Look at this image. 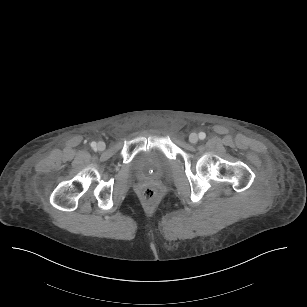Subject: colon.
<instances>
[{"instance_id":"colon-1","label":"colon","mask_w":307,"mask_h":307,"mask_svg":"<svg viewBox=\"0 0 307 307\" xmlns=\"http://www.w3.org/2000/svg\"><path fill=\"white\" fill-rule=\"evenodd\" d=\"M141 199L145 203H153L157 199V192L153 188H145L141 192Z\"/></svg>"}]
</instances>
